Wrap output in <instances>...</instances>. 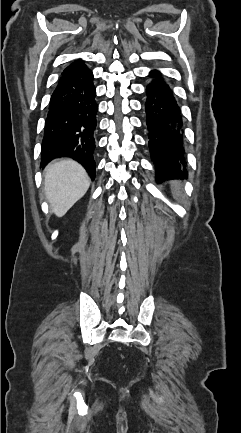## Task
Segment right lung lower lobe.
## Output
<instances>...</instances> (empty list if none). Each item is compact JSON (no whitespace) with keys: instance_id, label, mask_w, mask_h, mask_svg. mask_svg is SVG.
Returning <instances> with one entry per match:
<instances>
[{"instance_id":"right-lung-lower-lobe-1","label":"right lung lower lobe","mask_w":241,"mask_h":433,"mask_svg":"<svg viewBox=\"0 0 241 433\" xmlns=\"http://www.w3.org/2000/svg\"><path fill=\"white\" fill-rule=\"evenodd\" d=\"M93 73L79 63L62 73L51 96L42 141V165L66 156L95 178V130L98 105Z\"/></svg>"}]
</instances>
